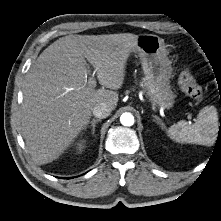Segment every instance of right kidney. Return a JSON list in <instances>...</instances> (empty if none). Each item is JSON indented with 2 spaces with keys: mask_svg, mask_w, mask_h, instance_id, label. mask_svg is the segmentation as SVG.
I'll use <instances>...</instances> for the list:
<instances>
[{
  "mask_svg": "<svg viewBox=\"0 0 221 221\" xmlns=\"http://www.w3.org/2000/svg\"><path fill=\"white\" fill-rule=\"evenodd\" d=\"M82 148H83V145H82V143H81V144H79L78 149L81 150Z\"/></svg>",
  "mask_w": 221,
  "mask_h": 221,
  "instance_id": "ca27d5eb",
  "label": "right kidney"
}]
</instances>
